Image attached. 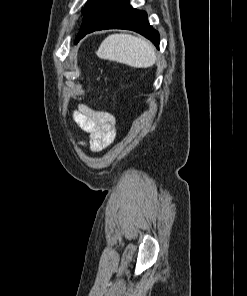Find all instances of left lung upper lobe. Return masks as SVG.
I'll use <instances>...</instances> for the list:
<instances>
[{"mask_svg": "<svg viewBox=\"0 0 247 296\" xmlns=\"http://www.w3.org/2000/svg\"><path fill=\"white\" fill-rule=\"evenodd\" d=\"M99 0H89L84 9H82V13H86L92 6H94Z\"/></svg>", "mask_w": 247, "mask_h": 296, "instance_id": "5c2ea615", "label": "left lung upper lobe"}]
</instances>
